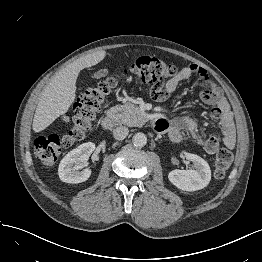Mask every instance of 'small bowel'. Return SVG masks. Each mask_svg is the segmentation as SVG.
Returning a JSON list of instances; mask_svg holds the SVG:
<instances>
[{
	"mask_svg": "<svg viewBox=\"0 0 262 262\" xmlns=\"http://www.w3.org/2000/svg\"><path fill=\"white\" fill-rule=\"evenodd\" d=\"M195 74L207 85L206 90L201 94V98L205 103L213 106L211 117L221 122V143L225 147L233 149L236 139L229 103L217 84L210 79L204 68L195 64L182 67L178 74L165 84L166 96L163 99L171 95L180 84L186 82ZM160 121L161 126L159 130L166 132L169 139L174 143L184 141L183 131H185L190 138L196 144L202 146L208 154L213 155L219 149L220 142L218 139L214 136L207 135L189 115H180L170 122L166 120Z\"/></svg>",
	"mask_w": 262,
	"mask_h": 262,
	"instance_id": "c3829d8e",
	"label": "small bowel"
}]
</instances>
